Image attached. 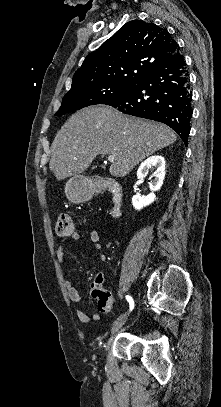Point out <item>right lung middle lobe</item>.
<instances>
[{
	"mask_svg": "<svg viewBox=\"0 0 221 407\" xmlns=\"http://www.w3.org/2000/svg\"><path fill=\"white\" fill-rule=\"evenodd\" d=\"M134 86L135 84L130 83H102L70 91L63 97L61 107L56 115H64L90 105L105 104L128 93Z\"/></svg>",
	"mask_w": 221,
	"mask_h": 407,
	"instance_id": "obj_1",
	"label": "right lung middle lobe"
}]
</instances>
